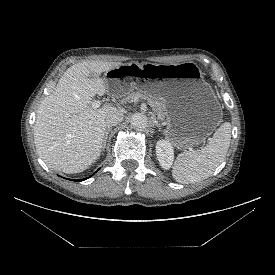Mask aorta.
Wrapping results in <instances>:
<instances>
[{"mask_svg":"<svg viewBox=\"0 0 275 275\" xmlns=\"http://www.w3.org/2000/svg\"><path fill=\"white\" fill-rule=\"evenodd\" d=\"M130 122L132 127L139 131L144 130L148 126L147 116L143 113H134Z\"/></svg>","mask_w":275,"mask_h":275,"instance_id":"1","label":"aorta"}]
</instances>
